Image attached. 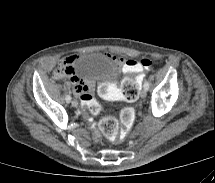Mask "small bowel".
Returning a JSON list of instances; mask_svg holds the SVG:
<instances>
[{"mask_svg": "<svg viewBox=\"0 0 215 183\" xmlns=\"http://www.w3.org/2000/svg\"><path fill=\"white\" fill-rule=\"evenodd\" d=\"M77 58H78L77 55H69L64 59H62L59 63V66L63 65L69 69L70 73L68 74V76L71 77V84L76 94H78L80 97L84 93L90 94L89 91H91L94 87L95 94L103 99H109V100L120 99V94L115 93V87L112 83L106 80H99L95 83V85H93V83H91L90 81L75 75L74 63L77 60ZM115 59L119 64L123 65V67L127 71V68H128L127 65L130 61L126 60L123 57H115ZM144 70H145L144 67H142L138 63H135L133 73L136 75L140 83L144 78ZM55 76L63 77V76L57 75V69L55 71Z\"/></svg>", "mask_w": 215, "mask_h": 183, "instance_id": "obj_1", "label": "small bowel"}]
</instances>
